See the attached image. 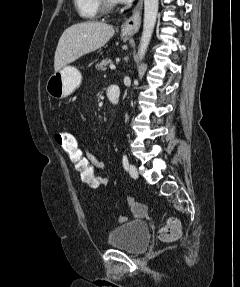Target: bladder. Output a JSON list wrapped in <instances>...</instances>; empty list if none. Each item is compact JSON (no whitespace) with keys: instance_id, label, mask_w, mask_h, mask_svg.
I'll return each instance as SVG.
<instances>
[{"instance_id":"obj_1","label":"bladder","mask_w":240,"mask_h":287,"mask_svg":"<svg viewBox=\"0 0 240 287\" xmlns=\"http://www.w3.org/2000/svg\"><path fill=\"white\" fill-rule=\"evenodd\" d=\"M150 228L145 221L132 220L110 231L107 244L128 253H142L148 246Z\"/></svg>"}]
</instances>
